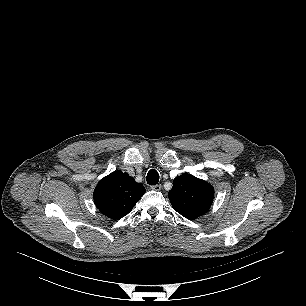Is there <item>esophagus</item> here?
<instances>
[{
	"label": "esophagus",
	"instance_id": "obj_1",
	"mask_svg": "<svg viewBox=\"0 0 306 306\" xmlns=\"http://www.w3.org/2000/svg\"><path fill=\"white\" fill-rule=\"evenodd\" d=\"M161 184L151 185L150 188L155 191L161 190Z\"/></svg>",
	"mask_w": 306,
	"mask_h": 306
}]
</instances>
